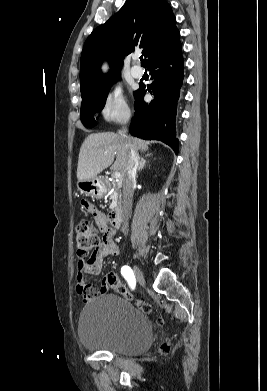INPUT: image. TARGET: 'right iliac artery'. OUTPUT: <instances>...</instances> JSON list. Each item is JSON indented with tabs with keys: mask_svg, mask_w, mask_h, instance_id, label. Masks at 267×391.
Instances as JSON below:
<instances>
[{
	"mask_svg": "<svg viewBox=\"0 0 267 391\" xmlns=\"http://www.w3.org/2000/svg\"><path fill=\"white\" fill-rule=\"evenodd\" d=\"M121 274L124 276V278L128 281L129 285L134 288L135 287V277L133 274V271L129 266H123L121 268Z\"/></svg>",
	"mask_w": 267,
	"mask_h": 391,
	"instance_id": "1",
	"label": "right iliac artery"
}]
</instances>
